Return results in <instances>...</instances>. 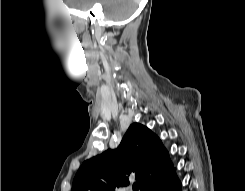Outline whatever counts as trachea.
Listing matches in <instances>:
<instances>
[{
  "instance_id": "obj_1",
  "label": "trachea",
  "mask_w": 245,
  "mask_h": 191,
  "mask_svg": "<svg viewBox=\"0 0 245 191\" xmlns=\"http://www.w3.org/2000/svg\"><path fill=\"white\" fill-rule=\"evenodd\" d=\"M133 190H134V191H138V190H139V185H138V183H134V184H133Z\"/></svg>"
}]
</instances>
